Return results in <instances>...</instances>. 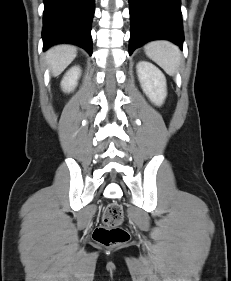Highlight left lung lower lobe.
<instances>
[{"label": "left lung lower lobe", "mask_w": 231, "mask_h": 281, "mask_svg": "<svg viewBox=\"0 0 231 281\" xmlns=\"http://www.w3.org/2000/svg\"><path fill=\"white\" fill-rule=\"evenodd\" d=\"M181 0H129V54L151 40L166 39L182 49Z\"/></svg>", "instance_id": "left-lung-lower-lobe-1"}]
</instances>
